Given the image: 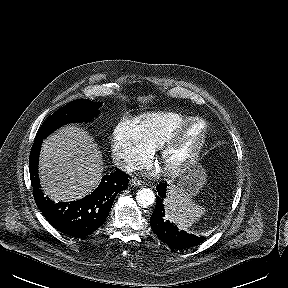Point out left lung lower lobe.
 <instances>
[{"label":"left lung lower lobe","instance_id":"obj_1","mask_svg":"<svg viewBox=\"0 0 288 288\" xmlns=\"http://www.w3.org/2000/svg\"><path fill=\"white\" fill-rule=\"evenodd\" d=\"M167 183L159 184L155 210L150 218V225L157 237L169 247L177 250L187 249L201 243L205 238L180 231L175 225L165 220L163 200L166 196Z\"/></svg>","mask_w":288,"mask_h":288}]
</instances>
